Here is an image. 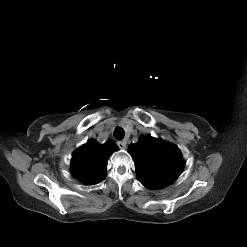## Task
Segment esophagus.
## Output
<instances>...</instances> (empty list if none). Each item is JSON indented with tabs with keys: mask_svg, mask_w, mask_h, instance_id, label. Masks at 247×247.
Wrapping results in <instances>:
<instances>
[{
	"mask_svg": "<svg viewBox=\"0 0 247 247\" xmlns=\"http://www.w3.org/2000/svg\"><path fill=\"white\" fill-rule=\"evenodd\" d=\"M126 141L125 140H122V141H118L117 142V146L120 148V149H125L126 148Z\"/></svg>",
	"mask_w": 247,
	"mask_h": 247,
	"instance_id": "34e87169",
	"label": "esophagus"
}]
</instances>
